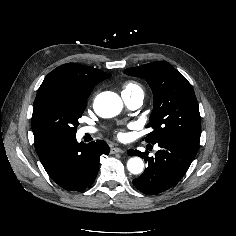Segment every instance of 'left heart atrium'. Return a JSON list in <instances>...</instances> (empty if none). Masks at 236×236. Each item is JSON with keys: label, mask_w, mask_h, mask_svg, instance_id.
<instances>
[{"label": "left heart atrium", "mask_w": 236, "mask_h": 236, "mask_svg": "<svg viewBox=\"0 0 236 236\" xmlns=\"http://www.w3.org/2000/svg\"><path fill=\"white\" fill-rule=\"evenodd\" d=\"M124 136H125V135H124V133H123V132H119V133H118V137H119L120 139H123V138H124Z\"/></svg>", "instance_id": "1"}]
</instances>
